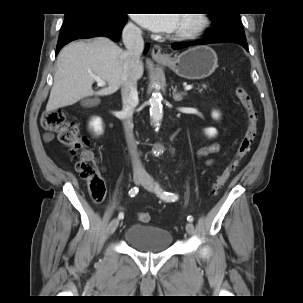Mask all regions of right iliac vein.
Masks as SVG:
<instances>
[{"mask_svg":"<svg viewBox=\"0 0 303 303\" xmlns=\"http://www.w3.org/2000/svg\"><path fill=\"white\" fill-rule=\"evenodd\" d=\"M143 179H144L143 174L140 173L133 174V181L135 184H139ZM118 225H119V219L116 218L111 220L107 228V235L108 236L112 235L118 228Z\"/></svg>","mask_w":303,"mask_h":303,"instance_id":"right-iliac-vein-1","label":"right iliac vein"}]
</instances>
